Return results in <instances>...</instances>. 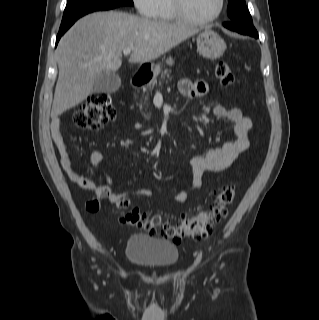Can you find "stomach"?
<instances>
[{
	"label": "stomach",
	"mask_w": 319,
	"mask_h": 320,
	"mask_svg": "<svg viewBox=\"0 0 319 320\" xmlns=\"http://www.w3.org/2000/svg\"><path fill=\"white\" fill-rule=\"evenodd\" d=\"M197 50L203 57L210 60H216L225 52L226 43L217 32L211 29H205L197 36ZM166 63L168 65H173L174 61L172 58H168ZM160 71L161 68L159 65L151 64L153 78L157 77Z\"/></svg>",
	"instance_id": "0dacf381"
}]
</instances>
